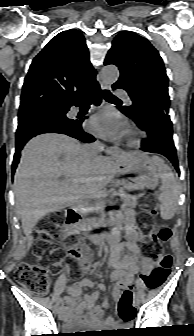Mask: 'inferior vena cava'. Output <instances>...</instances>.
Listing matches in <instances>:
<instances>
[{
  "label": "inferior vena cava",
  "mask_w": 194,
  "mask_h": 336,
  "mask_svg": "<svg viewBox=\"0 0 194 336\" xmlns=\"http://www.w3.org/2000/svg\"><path fill=\"white\" fill-rule=\"evenodd\" d=\"M103 145L100 142H94L87 145L88 155L90 156V165H97L99 160V153L103 151Z\"/></svg>",
  "instance_id": "obj_1"
}]
</instances>
